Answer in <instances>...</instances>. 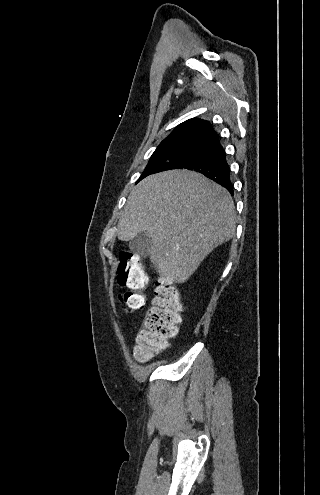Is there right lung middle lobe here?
<instances>
[{"label": "right lung middle lobe", "instance_id": "1", "mask_svg": "<svg viewBox=\"0 0 320 495\" xmlns=\"http://www.w3.org/2000/svg\"><path fill=\"white\" fill-rule=\"evenodd\" d=\"M205 143L206 141L203 140L187 139L160 144L151 156L138 181L150 174L177 169Z\"/></svg>", "mask_w": 320, "mask_h": 495}]
</instances>
